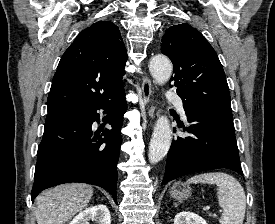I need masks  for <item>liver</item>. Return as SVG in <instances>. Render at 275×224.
<instances>
[{
	"label": "liver",
	"instance_id": "obj_1",
	"mask_svg": "<svg viewBox=\"0 0 275 224\" xmlns=\"http://www.w3.org/2000/svg\"><path fill=\"white\" fill-rule=\"evenodd\" d=\"M93 188L84 183H70L45 190L35 199L37 224H65L86 208Z\"/></svg>",
	"mask_w": 275,
	"mask_h": 224
}]
</instances>
